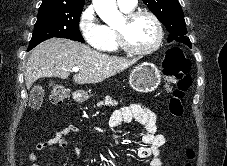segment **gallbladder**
Segmentation results:
<instances>
[{
	"instance_id": "1",
	"label": "gallbladder",
	"mask_w": 227,
	"mask_h": 166,
	"mask_svg": "<svg viewBox=\"0 0 227 166\" xmlns=\"http://www.w3.org/2000/svg\"><path fill=\"white\" fill-rule=\"evenodd\" d=\"M44 98V90L42 86L36 85L34 86L29 95V106L33 109L39 108L42 105Z\"/></svg>"
}]
</instances>
